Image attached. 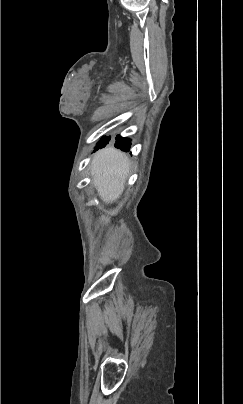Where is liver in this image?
Wrapping results in <instances>:
<instances>
[{
  "mask_svg": "<svg viewBox=\"0 0 243 404\" xmlns=\"http://www.w3.org/2000/svg\"><path fill=\"white\" fill-rule=\"evenodd\" d=\"M129 170V158L112 146L95 154L91 162L92 184L105 204H113L123 194Z\"/></svg>",
  "mask_w": 243,
  "mask_h": 404,
  "instance_id": "obj_1",
  "label": "liver"
}]
</instances>
